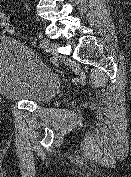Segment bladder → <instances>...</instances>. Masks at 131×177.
<instances>
[{"mask_svg":"<svg viewBox=\"0 0 131 177\" xmlns=\"http://www.w3.org/2000/svg\"><path fill=\"white\" fill-rule=\"evenodd\" d=\"M60 86L58 77L24 45L11 38L0 42V96L43 104Z\"/></svg>","mask_w":131,"mask_h":177,"instance_id":"1","label":"bladder"}]
</instances>
